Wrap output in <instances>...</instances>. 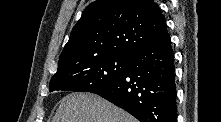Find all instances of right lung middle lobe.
Masks as SVG:
<instances>
[{"label":"right lung middle lobe","mask_w":221,"mask_h":122,"mask_svg":"<svg viewBox=\"0 0 221 122\" xmlns=\"http://www.w3.org/2000/svg\"><path fill=\"white\" fill-rule=\"evenodd\" d=\"M131 59L129 56L108 55L73 65L52 77L49 91L92 92L121 76Z\"/></svg>","instance_id":"right-lung-middle-lobe-1"}]
</instances>
